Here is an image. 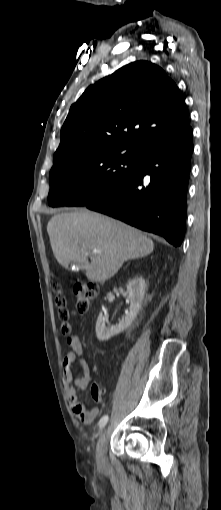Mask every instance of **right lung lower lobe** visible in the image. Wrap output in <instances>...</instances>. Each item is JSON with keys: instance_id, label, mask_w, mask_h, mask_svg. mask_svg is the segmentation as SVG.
Segmentation results:
<instances>
[{"instance_id": "obj_1", "label": "right lung lower lobe", "mask_w": 221, "mask_h": 510, "mask_svg": "<svg viewBox=\"0 0 221 510\" xmlns=\"http://www.w3.org/2000/svg\"><path fill=\"white\" fill-rule=\"evenodd\" d=\"M192 128L146 144L137 172L85 206L181 245L193 152Z\"/></svg>"}]
</instances>
